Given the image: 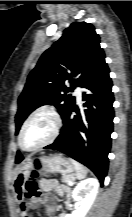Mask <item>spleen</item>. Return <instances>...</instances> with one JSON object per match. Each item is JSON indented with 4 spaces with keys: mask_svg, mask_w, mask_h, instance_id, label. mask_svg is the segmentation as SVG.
I'll list each match as a JSON object with an SVG mask.
<instances>
[{
    "mask_svg": "<svg viewBox=\"0 0 132 217\" xmlns=\"http://www.w3.org/2000/svg\"><path fill=\"white\" fill-rule=\"evenodd\" d=\"M70 161L75 168L77 178L78 179L85 178L87 175V169L82 164H80L79 162H77L74 159H70Z\"/></svg>",
    "mask_w": 132,
    "mask_h": 217,
    "instance_id": "1",
    "label": "spleen"
}]
</instances>
